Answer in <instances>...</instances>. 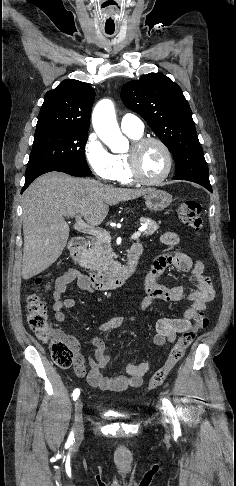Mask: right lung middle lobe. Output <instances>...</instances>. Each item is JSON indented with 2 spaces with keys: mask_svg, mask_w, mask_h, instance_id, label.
I'll list each match as a JSON object with an SVG mask.
<instances>
[{
  "mask_svg": "<svg viewBox=\"0 0 236 486\" xmlns=\"http://www.w3.org/2000/svg\"><path fill=\"white\" fill-rule=\"evenodd\" d=\"M87 131L62 128L36 129L27 167L53 164L89 169L85 159Z\"/></svg>",
  "mask_w": 236,
  "mask_h": 486,
  "instance_id": "right-lung-middle-lobe-1",
  "label": "right lung middle lobe"
}]
</instances>
